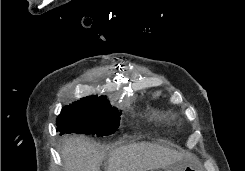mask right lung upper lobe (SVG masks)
Returning <instances> with one entry per match:
<instances>
[{"instance_id": "1", "label": "right lung upper lobe", "mask_w": 245, "mask_h": 171, "mask_svg": "<svg viewBox=\"0 0 245 171\" xmlns=\"http://www.w3.org/2000/svg\"><path fill=\"white\" fill-rule=\"evenodd\" d=\"M95 100H106V96H100V97H96V96H87L85 98H82L80 101H95Z\"/></svg>"}]
</instances>
